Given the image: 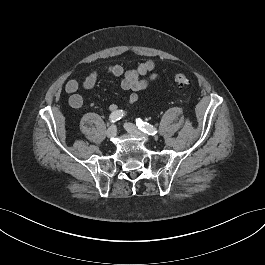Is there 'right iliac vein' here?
Here are the masks:
<instances>
[{"label":"right iliac vein","instance_id":"obj_1","mask_svg":"<svg viewBox=\"0 0 265 265\" xmlns=\"http://www.w3.org/2000/svg\"><path fill=\"white\" fill-rule=\"evenodd\" d=\"M116 132H117L116 126H115V125H111V126L107 129V131H106V135H107L108 138H113V137H115Z\"/></svg>","mask_w":265,"mask_h":265}]
</instances>
